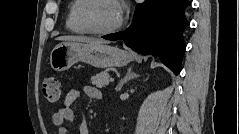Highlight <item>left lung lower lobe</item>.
Segmentation results:
<instances>
[{"instance_id": "left-lung-lower-lobe-1", "label": "left lung lower lobe", "mask_w": 239, "mask_h": 134, "mask_svg": "<svg viewBox=\"0 0 239 134\" xmlns=\"http://www.w3.org/2000/svg\"><path fill=\"white\" fill-rule=\"evenodd\" d=\"M189 5L188 0H145L136 6L129 28L103 38L122 39L140 54L158 56L177 75L186 48L183 30L189 22L184 10Z\"/></svg>"}]
</instances>
